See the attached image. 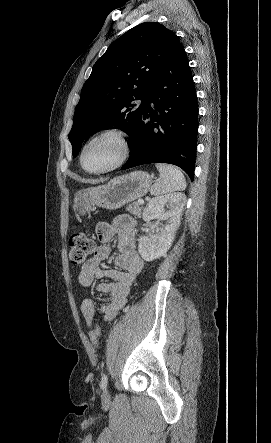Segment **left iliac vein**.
<instances>
[{
	"mask_svg": "<svg viewBox=\"0 0 271 443\" xmlns=\"http://www.w3.org/2000/svg\"><path fill=\"white\" fill-rule=\"evenodd\" d=\"M103 399L107 400L109 398V392L107 391V389H105V391L103 392L102 395Z\"/></svg>",
	"mask_w": 271,
	"mask_h": 443,
	"instance_id": "1",
	"label": "left iliac vein"
}]
</instances>
